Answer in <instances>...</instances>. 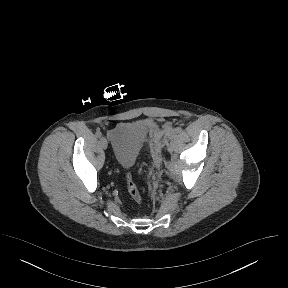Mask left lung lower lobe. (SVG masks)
I'll return each instance as SVG.
<instances>
[{"label": "left lung lower lobe", "instance_id": "0a47b994", "mask_svg": "<svg viewBox=\"0 0 288 288\" xmlns=\"http://www.w3.org/2000/svg\"><path fill=\"white\" fill-rule=\"evenodd\" d=\"M264 209V203L262 200L258 199L249 211L248 216H250L249 221H251V223L247 229L250 233L257 234L263 229Z\"/></svg>", "mask_w": 288, "mask_h": 288}]
</instances>
